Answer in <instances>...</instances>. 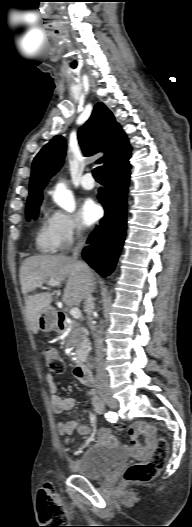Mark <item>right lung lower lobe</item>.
I'll use <instances>...</instances> for the list:
<instances>
[{"label": "right lung lower lobe", "mask_w": 192, "mask_h": 527, "mask_svg": "<svg viewBox=\"0 0 192 527\" xmlns=\"http://www.w3.org/2000/svg\"><path fill=\"white\" fill-rule=\"evenodd\" d=\"M130 156L129 152L105 171V187L98 195L105 216L90 235V245L83 249L84 260L103 277L114 270L125 238Z\"/></svg>", "instance_id": "98d812e1"}]
</instances>
